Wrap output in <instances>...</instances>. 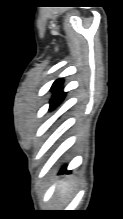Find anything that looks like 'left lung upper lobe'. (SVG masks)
<instances>
[{"label": "left lung upper lobe", "instance_id": "1", "mask_svg": "<svg viewBox=\"0 0 123 219\" xmlns=\"http://www.w3.org/2000/svg\"><path fill=\"white\" fill-rule=\"evenodd\" d=\"M61 85H62V79H57L52 85V90L55 92V94L50 100V110L57 107L65 96V93H63V91L60 89Z\"/></svg>", "mask_w": 123, "mask_h": 219}]
</instances>
